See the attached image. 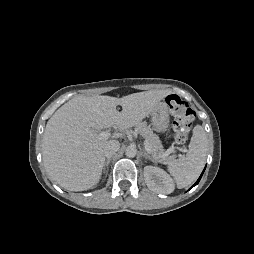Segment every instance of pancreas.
Instances as JSON below:
<instances>
[{
    "label": "pancreas",
    "instance_id": "obj_1",
    "mask_svg": "<svg viewBox=\"0 0 254 254\" xmlns=\"http://www.w3.org/2000/svg\"><path fill=\"white\" fill-rule=\"evenodd\" d=\"M135 129L145 138V143L149 145L151 155L157 162L167 164L175 158V155L168 156L167 152L163 149L159 137L145 122L136 124Z\"/></svg>",
    "mask_w": 254,
    "mask_h": 254
}]
</instances>
